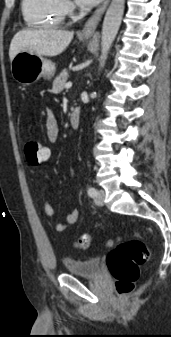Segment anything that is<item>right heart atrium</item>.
I'll return each instance as SVG.
<instances>
[{"label":"right heart atrium","instance_id":"d8ad5b80","mask_svg":"<svg viewBox=\"0 0 171 337\" xmlns=\"http://www.w3.org/2000/svg\"><path fill=\"white\" fill-rule=\"evenodd\" d=\"M64 8H65L67 13H71L74 10L73 5L69 1L64 2Z\"/></svg>","mask_w":171,"mask_h":337}]
</instances>
